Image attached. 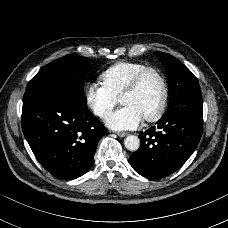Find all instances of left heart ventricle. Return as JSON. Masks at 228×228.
Instances as JSON below:
<instances>
[{"label": "left heart ventricle", "mask_w": 228, "mask_h": 228, "mask_svg": "<svg viewBox=\"0 0 228 228\" xmlns=\"http://www.w3.org/2000/svg\"><path fill=\"white\" fill-rule=\"evenodd\" d=\"M163 86L160 78L151 73L142 81L140 87L122 99L124 106L135 108L143 118L154 114L163 101Z\"/></svg>", "instance_id": "left-heart-ventricle-1"}]
</instances>
